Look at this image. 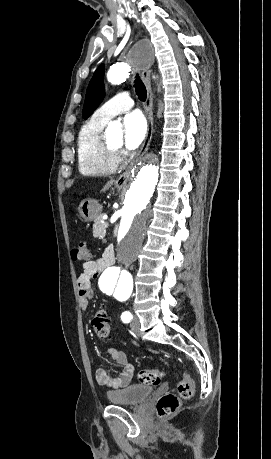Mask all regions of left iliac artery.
Segmentation results:
<instances>
[{"label":"left iliac artery","instance_id":"44dca946","mask_svg":"<svg viewBox=\"0 0 271 459\" xmlns=\"http://www.w3.org/2000/svg\"><path fill=\"white\" fill-rule=\"evenodd\" d=\"M132 314L129 312V311H125L122 313L121 315V320L124 322V323H129L132 319Z\"/></svg>","mask_w":271,"mask_h":459}]
</instances>
